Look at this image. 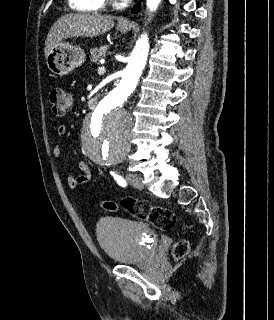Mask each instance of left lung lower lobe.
I'll return each instance as SVG.
<instances>
[{
  "mask_svg": "<svg viewBox=\"0 0 274 320\" xmlns=\"http://www.w3.org/2000/svg\"><path fill=\"white\" fill-rule=\"evenodd\" d=\"M140 9L139 4L135 5V7L133 8L132 12L136 13L138 10Z\"/></svg>",
  "mask_w": 274,
  "mask_h": 320,
  "instance_id": "1",
  "label": "left lung lower lobe"
}]
</instances>
